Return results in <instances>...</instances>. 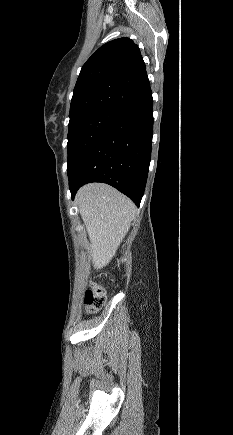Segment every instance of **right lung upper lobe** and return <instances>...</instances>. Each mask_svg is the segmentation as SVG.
Returning <instances> with one entry per match:
<instances>
[{"label":"right lung upper lobe","instance_id":"cb5924a9","mask_svg":"<svg viewBox=\"0 0 233 435\" xmlns=\"http://www.w3.org/2000/svg\"><path fill=\"white\" fill-rule=\"evenodd\" d=\"M150 90L145 63L129 38L101 46L83 65L69 117L99 109L124 113Z\"/></svg>","mask_w":233,"mask_h":435}]
</instances>
